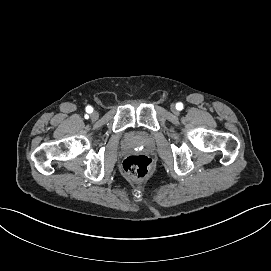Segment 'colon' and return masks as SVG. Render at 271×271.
<instances>
[{"label":"colon","instance_id":"1","mask_svg":"<svg viewBox=\"0 0 271 271\" xmlns=\"http://www.w3.org/2000/svg\"><path fill=\"white\" fill-rule=\"evenodd\" d=\"M153 168L152 160L145 155L128 156L122 163L124 173L134 180L147 177Z\"/></svg>","mask_w":271,"mask_h":271}]
</instances>
